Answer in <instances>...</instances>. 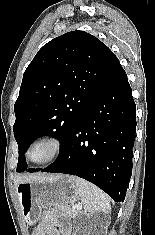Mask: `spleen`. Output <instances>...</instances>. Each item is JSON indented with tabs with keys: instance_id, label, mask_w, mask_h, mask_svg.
<instances>
[{
	"instance_id": "spleen-1",
	"label": "spleen",
	"mask_w": 155,
	"mask_h": 235,
	"mask_svg": "<svg viewBox=\"0 0 155 235\" xmlns=\"http://www.w3.org/2000/svg\"><path fill=\"white\" fill-rule=\"evenodd\" d=\"M71 179L78 188L86 212L108 214L111 211L109 197L101 189L82 178L72 176Z\"/></svg>"
}]
</instances>
